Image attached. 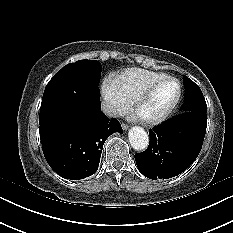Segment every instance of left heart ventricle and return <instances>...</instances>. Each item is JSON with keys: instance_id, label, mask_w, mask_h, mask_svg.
<instances>
[{"instance_id": "b2bd125f", "label": "left heart ventricle", "mask_w": 233, "mask_h": 233, "mask_svg": "<svg viewBox=\"0 0 233 233\" xmlns=\"http://www.w3.org/2000/svg\"><path fill=\"white\" fill-rule=\"evenodd\" d=\"M176 84L163 81L157 84L150 94L140 103L137 113L142 118H154L163 113L176 96Z\"/></svg>"}]
</instances>
